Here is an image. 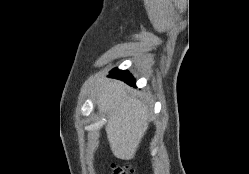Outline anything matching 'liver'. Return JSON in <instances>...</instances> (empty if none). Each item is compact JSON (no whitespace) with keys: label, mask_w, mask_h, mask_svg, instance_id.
I'll return each mask as SVG.
<instances>
[{"label":"liver","mask_w":249,"mask_h":174,"mask_svg":"<svg viewBox=\"0 0 249 174\" xmlns=\"http://www.w3.org/2000/svg\"><path fill=\"white\" fill-rule=\"evenodd\" d=\"M96 99L99 112L108 118L105 130L112 153L133 159L151 119L146 105L129 95L122 82L106 78L97 85Z\"/></svg>","instance_id":"6515ba94"}]
</instances>
